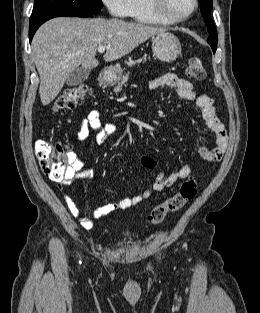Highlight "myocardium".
Listing matches in <instances>:
<instances>
[{"label": "myocardium", "mask_w": 260, "mask_h": 313, "mask_svg": "<svg viewBox=\"0 0 260 313\" xmlns=\"http://www.w3.org/2000/svg\"><path fill=\"white\" fill-rule=\"evenodd\" d=\"M149 3H150L151 10L156 15V17L166 24H177L188 19L190 16H192L196 12V10L198 9V4H199L198 0H193V6L190 11L178 17H172L166 14V12L164 11L163 0H149Z\"/></svg>", "instance_id": "obj_1"}]
</instances>
